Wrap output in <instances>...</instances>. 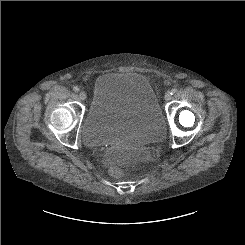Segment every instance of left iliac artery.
Here are the masks:
<instances>
[{"label": "left iliac artery", "mask_w": 245, "mask_h": 245, "mask_svg": "<svg viewBox=\"0 0 245 245\" xmlns=\"http://www.w3.org/2000/svg\"><path fill=\"white\" fill-rule=\"evenodd\" d=\"M176 92H177V89L176 88H173V89H171L170 94L171 95H174Z\"/></svg>", "instance_id": "left-iliac-artery-1"}]
</instances>
